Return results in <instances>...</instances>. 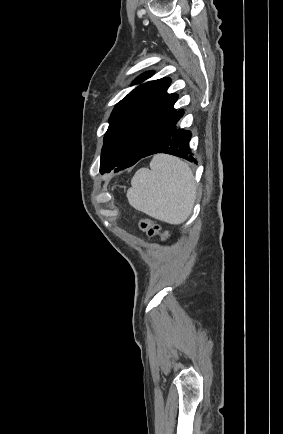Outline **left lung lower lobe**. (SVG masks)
<instances>
[{"label":"left lung lower lobe","instance_id":"obj_1","mask_svg":"<svg viewBox=\"0 0 283 434\" xmlns=\"http://www.w3.org/2000/svg\"><path fill=\"white\" fill-rule=\"evenodd\" d=\"M182 115L183 110H178L171 116L147 147L140 159L156 153H167L197 163L195 158L191 155V150L188 145L192 137L191 132L176 127ZM134 164L120 163L115 167V171L130 167Z\"/></svg>","mask_w":283,"mask_h":434}]
</instances>
